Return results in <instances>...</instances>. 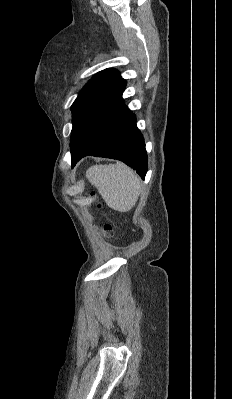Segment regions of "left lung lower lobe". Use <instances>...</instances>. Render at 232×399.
<instances>
[{
  "mask_svg": "<svg viewBox=\"0 0 232 399\" xmlns=\"http://www.w3.org/2000/svg\"><path fill=\"white\" fill-rule=\"evenodd\" d=\"M88 155L120 160L135 169L144 179L148 160L144 138L136 126L135 115L130 112L107 139L72 162V166H75L81 158Z\"/></svg>",
  "mask_w": 232,
  "mask_h": 399,
  "instance_id": "obj_1",
  "label": "left lung lower lobe"
}]
</instances>
